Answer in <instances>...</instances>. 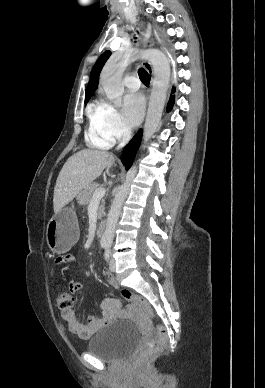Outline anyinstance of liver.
<instances>
[{
	"label": "liver",
	"mask_w": 265,
	"mask_h": 388,
	"mask_svg": "<svg viewBox=\"0 0 265 388\" xmlns=\"http://www.w3.org/2000/svg\"><path fill=\"white\" fill-rule=\"evenodd\" d=\"M114 156L104 150H80L65 162L54 188V214L76 198L77 194L92 184L105 168H111Z\"/></svg>",
	"instance_id": "6515ba94"
}]
</instances>
